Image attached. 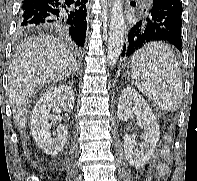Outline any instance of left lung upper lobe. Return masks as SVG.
<instances>
[{
	"label": "left lung upper lobe",
	"instance_id": "obj_1",
	"mask_svg": "<svg viewBox=\"0 0 197 181\" xmlns=\"http://www.w3.org/2000/svg\"><path fill=\"white\" fill-rule=\"evenodd\" d=\"M147 11V9H144L143 11H142V13H144V12H146Z\"/></svg>",
	"mask_w": 197,
	"mask_h": 181
}]
</instances>
